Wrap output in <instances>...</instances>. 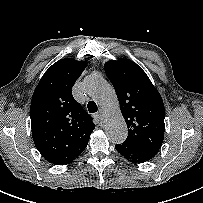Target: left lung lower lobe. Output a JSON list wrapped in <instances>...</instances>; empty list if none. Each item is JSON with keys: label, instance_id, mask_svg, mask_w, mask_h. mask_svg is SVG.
<instances>
[{"label": "left lung lower lobe", "instance_id": "0a47b994", "mask_svg": "<svg viewBox=\"0 0 203 203\" xmlns=\"http://www.w3.org/2000/svg\"><path fill=\"white\" fill-rule=\"evenodd\" d=\"M115 148L124 158L133 163H143L155 156V154L146 152L125 142L115 145Z\"/></svg>", "mask_w": 203, "mask_h": 203}]
</instances>
